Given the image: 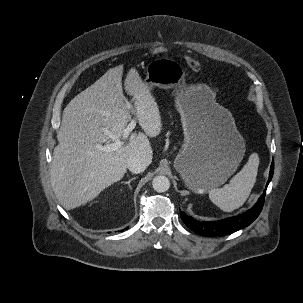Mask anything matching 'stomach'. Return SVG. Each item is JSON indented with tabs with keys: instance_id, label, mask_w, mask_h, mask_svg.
Listing matches in <instances>:
<instances>
[{
	"instance_id": "stomach-1",
	"label": "stomach",
	"mask_w": 303,
	"mask_h": 303,
	"mask_svg": "<svg viewBox=\"0 0 303 303\" xmlns=\"http://www.w3.org/2000/svg\"><path fill=\"white\" fill-rule=\"evenodd\" d=\"M186 73L175 60L159 58L147 66L145 84L178 88L175 105L181 115L184 144L174 161L181 178L196 193L224 184L245 154V142L230 111L215 101L205 84H185Z\"/></svg>"
}]
</instances>
